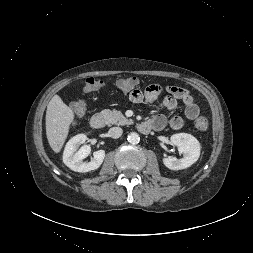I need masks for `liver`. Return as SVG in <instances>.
<instances>
[{"mask_svg":"<svg viewBox=\"0 0 253 253\" xmlns=\"http://www.w3.org/2000/svg\"><path fill=\"white\" fill-rule=\"evenodd\" d=\"M73 120V110L63 102L59 95H54L46 110V136L55 153L61 151Z\"/></svg>","mask_w":253,"mask_h":253,"instance_id":"obj_1","label":"liver"}]
</instances>
